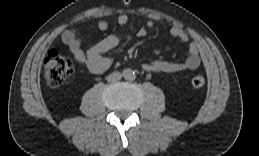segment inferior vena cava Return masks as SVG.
<instances>
[{
	"label": "inferior vena cava",
	"instance_id": "obj_1",
	"mask_svg": "<svg viewBox=\"0 0 259 156\" xmlns=\"http://www.w3.org/2000/svg\"><path fill=\"white\" fill-rule=\"evenodd\" d=\"M122 78V74L120 72H113L107 77L108 82H116Z\"/></svg>",
	"mask_w": 259,
	"mask_h": 156
}]
</instances>
